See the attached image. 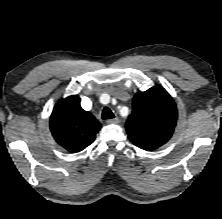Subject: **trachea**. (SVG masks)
I'll use <instances>...</instances> for the list:
<instances>
[{"mask_svg": "<svg viewBox=\"0 0 222 219\" xmlns=\"http://www.w3.org/2000/svg\"><path fill=\"white\" fill-rule=\"evenodd\" d=\"M114 114L113 112L108 108V107H105L102 111V119L103 120H106V119H112L114 118Z\"/></svg>", "mask_w": 222, "mask_h": 219, "instance_id": "trachea-1", "label": "trachea"}]
</instances>
